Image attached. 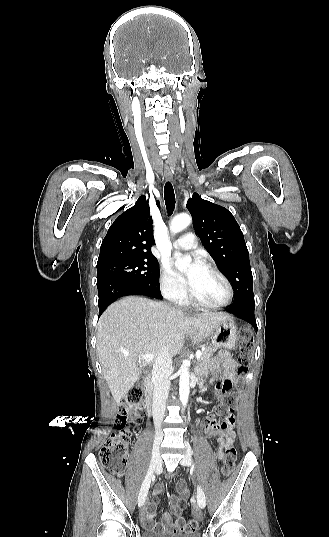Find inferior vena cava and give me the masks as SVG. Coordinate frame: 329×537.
I'll return each mask as SVG.
<instances>
[{
	"label": "inferior vena cava",
	"instance_id": "602c4592",
	"mask_svg": "<svg viewBox=\"0 0 329 537\" xmlns=\"http://www.w3.org/2000/svg\"><path fill=\"white\" fill-rule=\"evenodd\" d=\"M172 356L169 349L162 346L156 356L152 370L154 384L152 414L157 434H162L161 424L166 412V402L170 389Z\"/></svg>",
	"mask_w": 329,
	"mask_h": 537
}]
</instances>
